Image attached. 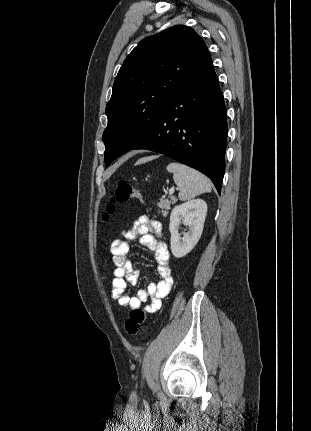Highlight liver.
I'll return each instance as SVG.
<instances>
[{
	"label": "liver",
	"mask_w": 311,
	"mask_h": 431,
	"mask_svg": "<svg viewBox=\"0 0 311 431\" xmlns=\"http://www.w3.org/2000/svg\"><path fill=\"white\" fill-rule=\"evenodd\" d=\"M148 160H150V158H141V160H137L134 166H139V164H145V162H148Z\"/></svg>",
	"instance_id": "obj_1"
}]
</instances>
